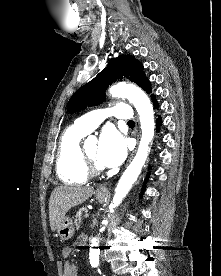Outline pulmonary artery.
<instances>
[{"mask_svg": "<svg viewBox=\"0 0 221 276\" xmlns=\"http://www.w3.org/2000/svg\"><path fill=\"white\" fill-rule=\"evenodd\" d=\"M109 116L130 121L133 114L129 105L120 103L113 106L112 108L99 109L83 115L75 121L74 127L84 132L85 134H88Z\"/></svg>", "mask_w": 221, "mask_h": 276, "instance_id": "obj_1", "label": "pulmonary artery"}]
</instances>
